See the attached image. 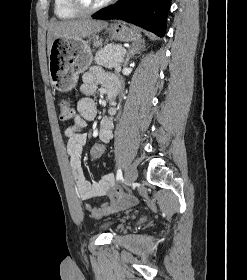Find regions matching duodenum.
Returning a JSON list of instances; mask_svg holds the SVG:
<instances>
[{
  "label": "duodenum",
  "mask_w": 247,
  "mask_h": 280,
  "mask_svg": "<svg viewBox=\"0 0 247 280\" xmlns=\"http://www.w3.org/2000/svg\"><path fill=\"white\" fill-rule=\"evenodd\" d=\"M111 95L113 96V95H114V92H111Z\"/></svg>",
  "instance_id": "1"
}]
</instances>
